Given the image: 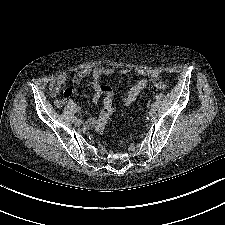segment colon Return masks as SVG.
Returning <instances> with one entry per match:
<instances>
[{"label":"colon","mask_w":225,"mask_h":225,"mask_svg":"<svg viewBox=\"0 0 225 225\" xmlns=\"http://www.w3.org/2000/svg\"><path fill=\"white\" fill-rule=\"evenodd\" d=\"M154 88L157 91H164L166 89V86L163 83H156L154 85ZM112 114H113V107L111 100L105 99L103 109L94 125V129L98 134H101L106 130Z\"/></svg>","instance_id":"1"}]
</instances>
